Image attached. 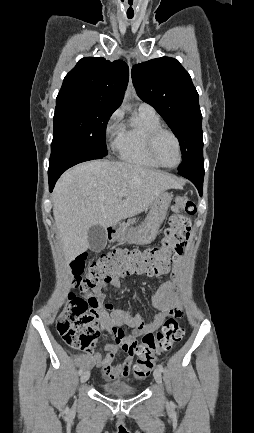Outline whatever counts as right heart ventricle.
Instances as JSON below:
<instances>
[{
  "instance_id": "1",
  "label": "right heart ventricle",
  "mask_w": 254,
  "mask_h": 433,
  "mask_svg": "<svg viewBox=\"0 0 254 433\" xmlns=\"http://www.w3.org/2000/svg\"><path fill=\"white\" fill-rule=\"evenodd\" d=\"M158 126H161V122L155 111L138 110L128 123L121 125L114 140L113 146L118 157L139 167L158 168L159 166L150 158L146 147L148 133Z\"/></svg>"
}]
</instances>
